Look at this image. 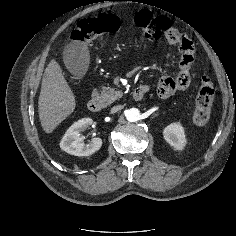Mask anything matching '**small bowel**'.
I'll list each match as a JSON object with an SVG mask.
<instances>
[{
	"mask_svg": "<svg viewBox=\"0 0 236 236\" xmlns=\"http://www.w3.org/2000/svg\"><path fill=\"white\" fill-rule=\"evenodd\" d=\"M173 44L178 45L181 51L177 76H164L155 84L157 92L160 96L164 98H169L175 92L186 89L189 86L190 70L194 61V47L189 39L184 36V39L180 43ZM185 79L187 80V84L184 85L181 89H179L178 85L182 84ZM145 87L149 89L148 86Z\"/></svg>",
	"mask_w": 236,
	"mask_h": 236,
	"instance_id": "obj_1",
	"label": "small bowel"
}]
</instances>
